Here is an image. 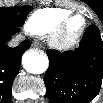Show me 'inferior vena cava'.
<instances>
[{
  "instance_id": "obj_1",
  "label": "inferior vena cava",
  "mask_w": 103,
  "mask_h": 103,
  "mask_svg": "<svg viewBox=\"0 0 103 103\" xmlns=\"http://www.w3.org/2000/svg\"><path fill=\"white\" fill-rule=\"evenodd\" d=\"M21 37H16L15 39H13L10 43L9 46L10 47H16L18 46L19 42L21 41Z\"/></svg>"
}]
</instances>
